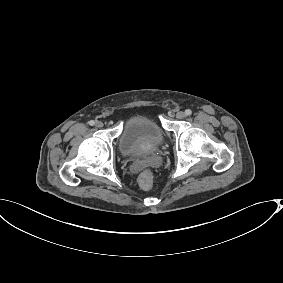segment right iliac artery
<instances>
[{"mask_svg":"<svg viewBox=\"0 0 283 283\" xmlns=\"http://www.w3.org/2000/svg\"><path fill=\"white\" fill-rule=\"evenodd\" d=\"M95 124L94 120L89 121V125L93 126Z\"/></svg>","mask_w":283,"mask_h":283,"instance_id":"right-iliac-artery-1","label":"right iliac artery"}]
</instances>
